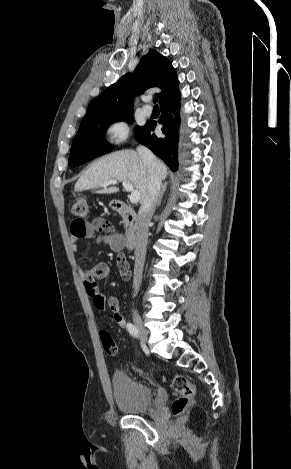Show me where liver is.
Listing matches in <instances>:
<instances>
[{"label":"liver","mask_w":291,"mask_h":469,"mask_svg":"<svg viewBox=\"0 0 291 469\" xmlns=\"http://www.w3.org/2000/svg\"><path fill=\"white\" fill-rule=\"evenodd\" d=\"M155 159L160 177L164 180L167 176V167L161 160ZM110 180L131 182L140 193L139 200L142 203L148 191L150 174L137 152L133 150L116 151L91 164L76 182L75 190L93 189ZM118 191L119 188L112 186L104 187L97 193L111 194Z\"/></svg>","instance_id":"6515ba94"}]
</instances>
